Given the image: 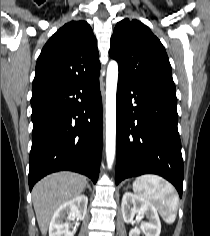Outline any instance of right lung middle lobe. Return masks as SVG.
Listing matches in <instances>:
<instances>
[{
  "label": "right lung middle lobe",
  "mask_w": 210,
  "mask_h": 236,
  "mask_svg": "<svg viewBox=\"0 0 210 236\" xmlns=\"http://www.w3.org/2000/svg\"><path fill=\"white\" fill-rule=\"evenodd\" d=\"M56 91L50 89H39L32 92L31 103L41 98L54 94Z\"/></svg>",
  "instance_id": "1"
}]
</instances>
